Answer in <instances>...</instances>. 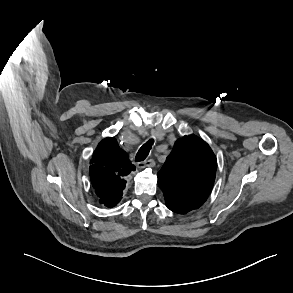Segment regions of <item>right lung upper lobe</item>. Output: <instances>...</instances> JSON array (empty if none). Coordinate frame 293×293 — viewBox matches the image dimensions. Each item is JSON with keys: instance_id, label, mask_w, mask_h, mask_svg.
Listing matches in <instances>:
<instances>
[{"instance_id": "right-lung-upper-lobe-1", "label": "right lung upper lobe", "mask_w": 293, "mask_h": 293, "mask_svg": "<svg viewBox=\"0 0 293 293\" xmlns=\"http://www.w3.org/2000/svg\"><path fill=\"white\" fill-rule=\"evenodd\" d=\"M90 164V178L100 203L109 208L114 207L122 198L125 177L135 170V166L112 137L99 143Z\"/></svg>"}]
</instances>
